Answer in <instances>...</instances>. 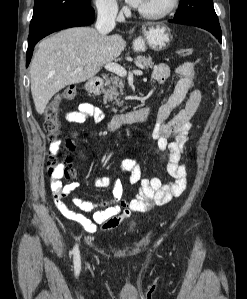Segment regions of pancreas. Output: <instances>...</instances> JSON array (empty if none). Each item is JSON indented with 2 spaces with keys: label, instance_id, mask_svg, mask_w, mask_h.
<instances>
[{
  "label": "pancreas",
  "instance_id": "obj_1",
  "mask_svg": "<svg viewBox=\"0 0 247 299\" xmlns=\"http://www.w3.org/2000/svg\"><path fill=\"white\" fill-rule=\"evenodd\" d=\"M134 63L138 65L139 67L143 68H152L154 63L150 57H144V56H137L134 60ZM104 86L105 89H102L103 101L106 103L107 101H112L113 104L118 105L119 107H122L123 100L119 98L124 95V83L123 79L120 76L113 75L110 78H107ZM125 108H122L121 111H123ZM113 111H116L113 109Z\"/></svg>",
  "mask_w": 247,
  "mask_h": 299
}]
</instances>
